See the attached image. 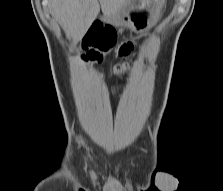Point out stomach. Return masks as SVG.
<instances>
[{
	"instance_id": "0dacf381",
	"label": "stomach",
	"mask_w": 223,
	"mask_h": 191,
	"mask_svg": "<svg viewBox=\"0 0 223 191\" xmlns=\"http://www.w3.org/2000/svg\"><path fill=\"white\" fill-rule=\"evenodd\" d=\"M164 0H129L114 14H103V20L134 32L150 28L157 20Z\"/></svg>"
}]
</instances>
